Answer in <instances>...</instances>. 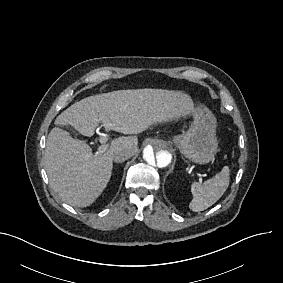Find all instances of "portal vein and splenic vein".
I'll list each match as a JSON object with an SVG mask.
<instances>
[{
  "label": "portal vein and splenic vein",
  "mask_w": 283,
  "mask_h": 283,
  "mask_svg": "<svg viewBox=\"0 0 283 283\" xmlns=\"http://www.w3.org/2000/svg\"><path fill=\"white\" fill-rule=\"evenodd\" d=\"M102 127L104 128V132L100 134V142L105 143L109 139V133L114 129L115 124L108 121L105 122ZM98 149L101 152H105L107 150L105 146H100Z\"/></svg>",
  "instance_id": "obj_1"
}]
</instances>
